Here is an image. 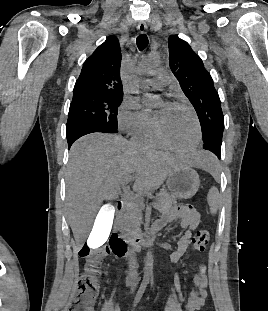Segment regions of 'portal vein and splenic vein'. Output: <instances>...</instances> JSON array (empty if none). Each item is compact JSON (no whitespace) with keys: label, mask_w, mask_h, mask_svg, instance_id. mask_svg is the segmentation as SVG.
Listing matches in <instances>:
<instances>
[{"label":"portal vein and splenic vein","mask_w":268,"mask_h":311,"mask_svg":"<svg viewBox=\"0 0 268 311\" xmlns=\"http://www.w3.org/2000/svg\"><path fill=\"white\" fill-rule=\"evenodd\" d=\"M132 180L131 177H128L124 180L123 184H127L128 182H130ZM125 196H128V194H125Z\"/></svg>","instance_id":"1"}]
</instances>
